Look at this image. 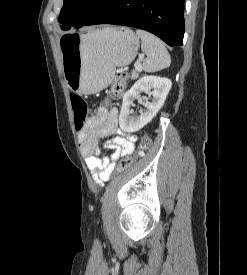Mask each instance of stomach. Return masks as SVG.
Segmentation results:
<instances>
[{
	"instance_id": "stomach-1",
	"label": "stomach",
	"mask_w": 247,
	"mask_h": 275,
	"mask_svg": "<svg viewBox=\"0 0 247 275\" xmlns=\"http://www.w3.org/2000/svg\"><path fill=\"white\" fill-rule=\"evenodd\" d=\"M59 47L67 86L89 95L105 89L116 68L135 59L139 38L128 28L105 27L86 34H65Z\"/></svg>"
}]
</instances>
